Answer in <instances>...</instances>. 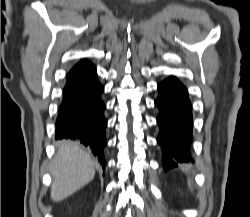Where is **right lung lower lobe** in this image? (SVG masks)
<instances>
[{
  "instance_id": "right-lung-lower-lobe-1",
  "label": "right lung lower lobe",
  "mask_w": 250,
  "mask_h": 217,
  "mask_svg": "<svg viewBox=\"0 0 250 217\" xmlns=\"http://www.w3.org/2000/svg\"><path fill=\"white\" fill-rule=\"evenodd\" d=\"M103 91L95 66L87 60L76 64L67 75L56 119L55 138L80 141L91 149L105 168L103 150L106 146L107 120L101 98Z\"/></svg>"
}]
</instances>
